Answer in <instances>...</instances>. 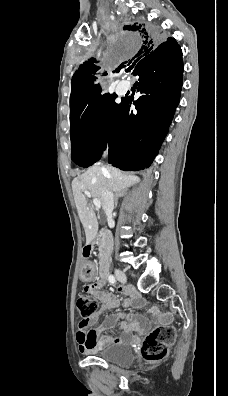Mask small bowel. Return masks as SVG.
Listing matches in <instances>:
<instances>
[{"mask_svg": "<svg viewBox=\"0 0 228 396\" xmlns=\"http://www.w3.org/2000/svg\"><path fill=\"white\" fill-rule=\"evenodd\" d=\"M83 275L86 278L92 277L94 275V269L91 264H84ZM106 282L107 277L106 273L104 272L99 276L97 281L85 287V291L88 294L94 296L100 303L98 311L91 318V323L97 322L103 313L118 307L120 303L117 295L102 290V287ZM142 304L143 302L141 298L135 294L124 302V306L127 308H139L142 306ZM120 319H123V321L120 323V328L123 331V334L120 337L115 338L110 335L100 336L101 332L114 327ZM148 326L149 324L147 320L140 316L124 314L121 312L110 314L99 326L90 329L89 331L79 326L76 335L79 351L85 354L91 353L94 350L102 348L106 345L129 340L131 339L133 332L144 331L148 328Z\"/></svg>", "mask_w": 228, "mask_h": 396, "instance_id": "c3829d8e", "label": "small bowel"}]
</instances>
